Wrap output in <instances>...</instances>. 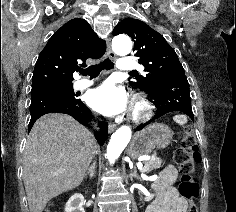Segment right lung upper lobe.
Masks as SVG:
<instances>
[{
  "mask_svg": "<svg viewBox=\"0 0 236 212\" xmlns=\"http://www.w3.org/2000/svg\"><path fill=\"white\" fill-rule=\"evenodd\" d=\"M105 51L106 42L86 20H70L53 34L39 54L33 71L32 90L73 85L72 74L78 69V62L83 61L81 65L86 66V59H98Z\"/></svg>",
  "mask_w": 236,
  "mask_h": 212,
  "instance_id": "obj_1",
  "label": "right lung upper lobe"
}]
</instances>
